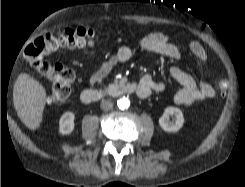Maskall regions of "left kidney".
<instances>
[{"instance_id": "obj_1", "label": "left kidney", "mask_w": 245, "mask_h": 187, "mask_svg": "<svg viewBox=\"0 0 245 187\" xmlns=\"http://www.w3.org/2000/svg\"><path fill=\"white\" fill-rule=\"evenodd\" d=\"M170 116H174V121H170ZM183 124V113L177 107L170 106L165 108L163 115L159 118V125L166 132H177Z\"/></svg>"}]
</instances>
